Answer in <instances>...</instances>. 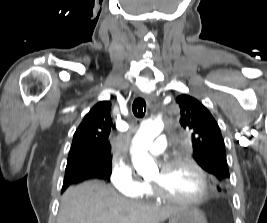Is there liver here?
<instances>
[{"instance_id":"1","label":"liver","mask_w":267,"mask_h":223,"mask_svg":"<svg viewBox=\"0 0 267 223\" xmlns=\"http://www.w3.org/2000/svg\"><path fill=\"white\" fill-rule=\"evenodd\" d=\"M178 211L128 200L104 182L91 180L64 192L58 223H161Z\"/></svg>"}]
</instances>
